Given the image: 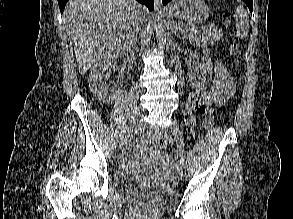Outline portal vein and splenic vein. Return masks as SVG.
Returning a JSON list of instances; mask_svg holds the SVG:
<instances>
[{
	"label": "portal vein and splenic vein",
	"mask_w": 293,
	"mask_h": 219,
	"mask_svg": "<svg viewBox=\"0 0 293 219\" xmlns=\"http://www.w3.org/2000/svg\"><path fill=\"white\" fill-rule=\"evenodd\" d=\"M179 26H180V24H179ZM204 29L205 30H217V29H215L214 24H211L208 27H204Z\"/></svg>",
	"instance_id": "portal-vein-and-splenic-vein-1"
}]
</instances>
